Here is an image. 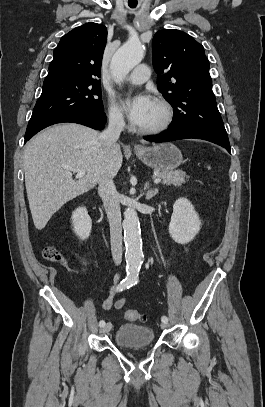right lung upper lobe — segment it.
Wrapping results in <instances>:
<instances>
[{"label":"right lung upper lobe","mask_w":265,"mask_h":407,"mask_svg":"<svg viewBox=\"0 0 265 407\" xmlns=\"http://www.w3.org/2000/svg\"><path fill=\"white\" fill-rule=\"evenodd\" d=\"M107 29L93 22L64 35L55 48L46 78L69 77L97 80L106 45Z\"/></svg>","instance_id":"obj_1"}]
</instances>
